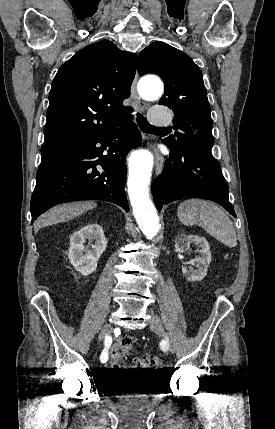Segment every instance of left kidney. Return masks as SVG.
I'll list each match as a JSON object with an SVG mask.
<instances>
[{"label": "left kidney", "mask_w": 275, "mask_h": 429, "mask_svg": "<svg viewBox=\"0 0 275 429\" xmlns=\"http://www.w3.org/2000/svg\"><path fill=\"white\" fill-rule=\"evenodd\" d=\"M190 244L200 247V255L188 262V264L195 266V269L182 266V272L187 280L200 281L207 275V268L211 262L210 245L203 237L180 234L175 240V249L178 253H183Z\"/></svg>", "instance_id": "obj_1"}]
</instances>
